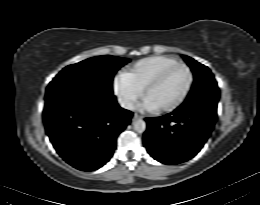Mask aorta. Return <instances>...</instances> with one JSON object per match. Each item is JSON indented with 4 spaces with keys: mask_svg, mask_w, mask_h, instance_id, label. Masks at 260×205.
I'll return each instance as SVG.
<instances>
[{
    "mask_svg": "<svg viewBox=\"0 0 260 205\" xmlns=\"http://www.w3.org/2000/svg\"><path fill=\"white\" fill-rule=\"evenodd\" d=\"M134 130L138 133H143L146 130V123L142 119H137L133 122Z\"/></svg>",
    "mask_w": 260,
    "mask_h": 205,
    "instance_id": "762f6f07",
    "label": "aorta"
}]
</instances>
